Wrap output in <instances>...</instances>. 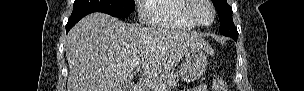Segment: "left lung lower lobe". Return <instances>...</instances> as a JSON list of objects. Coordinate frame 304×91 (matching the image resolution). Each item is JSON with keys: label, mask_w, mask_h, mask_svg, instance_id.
Wrapping results in <instances>:
<instances>
[{"label": "left lung lower lobe", "mask_w": 304, "mask_h": 91, "mask_svg": "<svg viewBox=\"0 0 304 91\" xmlns=\"http://www.w3.org/2000/svg\"><path fill=\"white\" fill-rule=\"evenodd\" d=\"M237 37L238 36H233L232 38L237 42Z\"/></svg>", "instance_id": "left-lung-lower-lobe-1"}]
</instances>
